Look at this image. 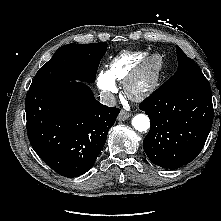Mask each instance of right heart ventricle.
<instances>
[{
    "label": "right heart ventricle",
    "mask_w": 221,
    "mask_h": 221,
    "mask_svg": "<svg viewBox=\"0 0 221 221\" xmlns=\"http://www.w3.org/2000/svg\"><path fill=\"white\" fill-rule=\"evenodd\" d=\"M145 56L142 51L122 52L111 61L109 72L114 79L123 81Z\"/></svg>",
    "instance_id": "obj_1"
}]
</instances>
